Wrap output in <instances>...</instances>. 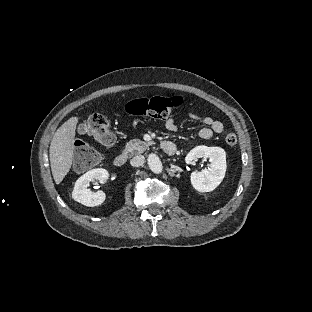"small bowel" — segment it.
<instances>
[{
	"instance_id": "obj_1",
	"label": "small bowel",
	"mask_w": 312,
	"mask_h": 312,
	"mask_svg": "<svg viewBox=\"0 0 312 312\" xmlns=\"http://www.w3.org/2000/svg\"><path fill=\"white\" fill-rule=\"evenodd\" d=\"M189 117L199 123L205 125L200 131L199 136L202 139H209L213 134H220L224 130V125L221 121L213 119L207 116L197 115L195 113H190ZM164 126L166 130L170 132H176L178 130V125L173 117H167L164 121Z\"/></svg>"
}]
</instances>
